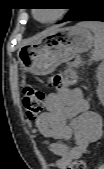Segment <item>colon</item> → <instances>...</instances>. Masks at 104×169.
<instances>
[{"label": "colon", "mask_w": 104, "mask_h": 169, "mask_svg": "<svg viewBox=\"0 0 104 169\" xmlns=\"http://www.w3.org/2000/svg\"><path fill=\"white\" fill-rule=\"evenodd\" d=\"M72 83H74L73 79L69 80L60 74H55L50 77L47 86L62 89ZM44 99L45 93L43 89L35 87H27L24 89L22 104L28 119L34 120L40 115L43 110ZM66 169H86V161L83 159L74 160Z\"/></svg>", "instance_id": "colon-1"}]
</instances>
